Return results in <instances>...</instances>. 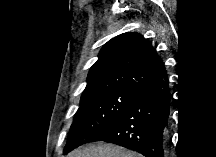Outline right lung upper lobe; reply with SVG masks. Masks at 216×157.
Listing matches in <instances>:
<instances>
[{
	"label": "right lung upper lobe",
	"instance_id": "1",
	"mask_svg": "<svg viewBox=\"0 0 216 157\" xmlns=\"http://www.w3.org/2000/svg\"><path fill=\"white\" fill-rule=\"evenodd\" d=\"M164 70L162 60L147 39L136 32L120 34L100 50L81 98L112 89H134Z\"/></svg>",
	"mask_w": 216,
	"mask_h": 157
}]
</instances>
